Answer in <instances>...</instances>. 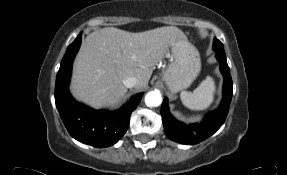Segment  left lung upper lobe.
<instances>
[{
	"label": "left lung upper lobe",
	"mask_w": 287,
	"mask_h": 175,
	"mask_svg": "<svg viewBox=\"0 0 287 175\" xmlns=\"http://www.w3.org/2000/svg\"><path fill=\"white\" fill-rule=\"evenodd\" d=\"M213 48L215 51L224 52L223 44L217 38L214 39Z\"/></svg>",
	"instance_id": "1"
}]
</instances>
